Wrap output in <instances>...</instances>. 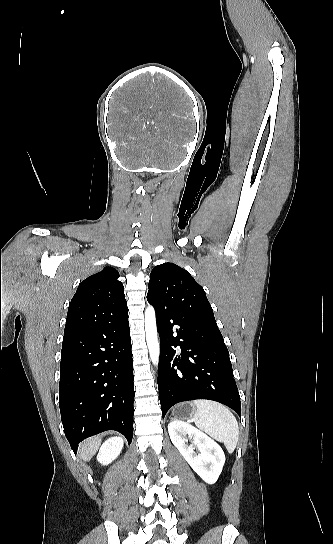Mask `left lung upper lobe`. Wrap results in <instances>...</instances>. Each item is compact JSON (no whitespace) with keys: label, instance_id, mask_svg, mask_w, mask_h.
I'll use <instances>...</instances> for the list:
<instances>
[{"label":"left lung upper lobe","instance_id":"obj_1","mask_svg":"<svg viewBox=\"0 0 333 544\" xmlns=\"http://www.w3.org/2000/svg\"><path fill=\"white\" fill-rule=\"evenodd\" d=\"M148 288L152 306L218 328L204 289L183 268L173 263L155 266Z\"/></svg>","mask_w":333,"mask_h":544}]
</instances>
